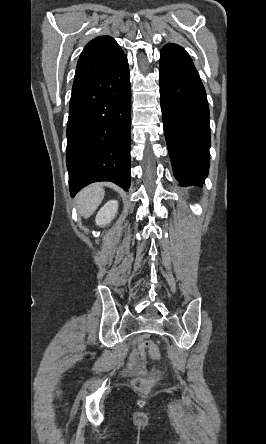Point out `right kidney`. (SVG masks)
I'll return each instance as SVG.
<instances>
[{
    "instance_id": "ca27d5eb",
    "label": "right kidney",
    "mask_w": 266,
    "mask_h": 444,
    "mask_svg": "<svg viewBox=\"0 0 266 444\" xmlns=\"http://www.w3.org/2000/svg\"><path fill=\"white\" fill-rule=\"evenodd\" d=\"M118 201L110 200L108 201L97 213L96 215V225L105 226L109 224L117 214Z\"/></svg>"
}]
</instances>
